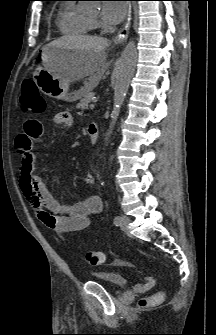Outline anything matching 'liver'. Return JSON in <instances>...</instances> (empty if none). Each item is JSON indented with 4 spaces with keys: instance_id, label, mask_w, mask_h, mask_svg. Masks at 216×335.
<instances>
[{
    "instance_id": "liver-1",
    "label": "liver",
    "mask_w": 216,
    "mask_h": 335,
    "mask_svg": "<svg viewBox=\"0 0 216 335\" xmlns=\"http://www.w3.org/2000/svg\"><path fill=\"white\" fill-rule=\"evenodd\" d=\"M108 45L109 41L102 37L63 36L48 46L77 50V54L60 74L71 82L98 72L106 59L105 49Z\"/></svg>"
}]
</instances>
